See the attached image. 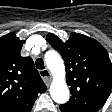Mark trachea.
I'll use <instances>...</instances> for the list:
<instances>
[{
  "label": "trachea",
  "mask_w": 112,
  "mask_h": 112,
  "mask_svg": "<svg viewBox=\"0 0 112 112\" xmlns=\"http://www.w3.org/2000/svg\"><path fill=\"white\" fill-rule=\"evenodd\" d=\"M35 64H36L37 69L42 70V69L45 68L44 62H43V60L41 58L37 59Z\"/></svg>",
  "instance_id": "3493384b"
}]
</instances>
